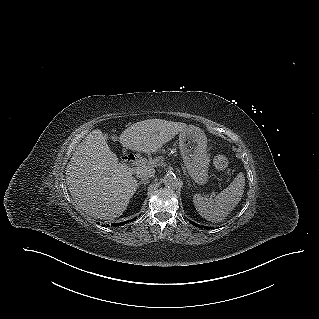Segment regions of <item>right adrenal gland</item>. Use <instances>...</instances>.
<instances>
[{"label":"right adrenal gland","mask_w":319,"mask_h":319,"mask_svg":"<svg viewBox=\"0 0 319 319\" xmlns=\"http://www.w3.org/2000/svg\"><path fill=\"white\" fill-rule=\"evenodd\" d=\"M148 183H149V180H146V179L141 180L140 182L137 183V188H139L141 184H144V186H146Z\"/></svg>","instance_id":"obj_1"}]
</instances>
